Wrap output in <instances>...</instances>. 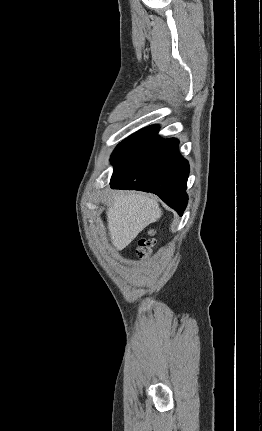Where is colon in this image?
<instances>
[{
    "instance_id": "1",
    "label": "colon",
    "mask_w": 262,
    "mask_h": 431,
    "mask_svg": "<svg viewBox=\"0 0 262 431\" xmlns=\"http://www.w3.org/2000/svg\"><path fill=\"white\" fill-rule=\"evenodd\" d=\"M150 247H151V239L141 238L138 242L136 255L139 258H145L149 254Z\"/></svg>"
}]
</instances>
